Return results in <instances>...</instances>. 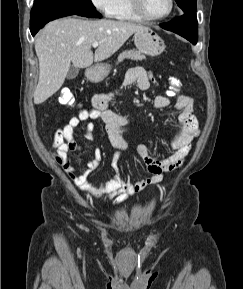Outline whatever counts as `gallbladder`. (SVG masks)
I'll list each match as a JSON object with an SVG mask.
<instances>
[{
	"instance_id": "obj_1",
	"label": "gallbladder",
	"mask_w": 243,
	"mask_h": 289,
	"mask_svg": "<svg viewBox=\"0 0 243 289\" xmlns=\"http://www.w3.org/2000/svg\"><path fill=\"white\" fill-rule=\"evenodd\" d=\"M78 73L79 69L77 67L71 66L67 74V79L71 80L76 78Z\"/></svg>"
}]
</instances>
